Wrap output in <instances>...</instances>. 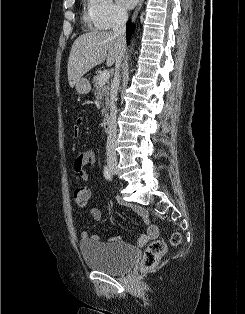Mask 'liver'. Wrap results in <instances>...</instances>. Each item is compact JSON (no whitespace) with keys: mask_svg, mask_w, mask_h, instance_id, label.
<instances>
[{"mask_svg":"<svg viewBox=\"0 0 245 314\" xmlns=\"http://www.w3.org/2000/svg\"><path fill=\"white\" fill-rule=\"evenodd\" d=\"M119 55L120 43L112 31H91L79 36L71 47L68 59L70 87H74L85 73L105 60L108 66H112Z\"/></svg>","mask_w":245,"mask_h":314,"instance_id":"1","label":"liver"}]
</instances>
